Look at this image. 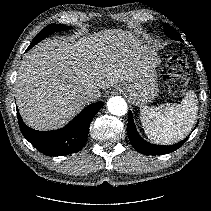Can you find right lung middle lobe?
<instances>
[{
    "label": "right lung middle lobe",
    "instance_id": "right-lung-middle-lobe-1",
    "mask_svg": "<svg viewBox=\"0 0 211 211\" xmlns=\"http://www.w3.org/2000/svg\"><path fill=\"white\" fill-rule=\"evenodd\" d=\"M69 27L61 25V24H50L46 26L31 42L30 46L28 47L27 50H29L32 46L37 44L39 41L43 40L46 36L49 34L55 32V31H63V30H68ZM26 50V51H27Z\"/></svg>",
    "mask_w": 211,
    "mask_h": 211
}]
</instances>
